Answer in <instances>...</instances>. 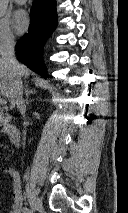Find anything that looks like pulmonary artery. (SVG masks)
<instances>
[{
  "mask_svg": "<svg viewBox=\"0 0 128 213\" xmlns=\"http://www.w3.org/2000/svg\"><path fill=\"white\" fill-rule=\"evenodd\" d=\"M27 0H14L15 3L19 4V5H23L26 3Z\"/></svg>",
  "mask_w": 128,
  "mask_h": 213,
  "instance_id": "1",
  "label": "pulmonary artery"
}]
</instances>
